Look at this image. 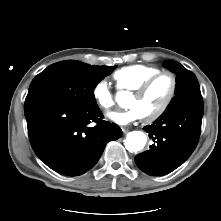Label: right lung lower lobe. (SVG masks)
<instances>
[{
  "label": "right lung lower lobe",
  "mask_w": 221,
  "mask_h": 221,
  "mask_svg": "<svg viewBox=\"0 0 221 221\" xmlns=\"http://www.w3.org/2000/svg\"><path fill=\"white\" fill-rule=\"evenodd\" d=\"M28 135L36 155L54 171L78 176L99 160L106 144L122 130L102 120L99 107L78 108L52 100L24 104ZM91 122L96 126L89 127Z\"/></svg>",
  "instance_id": "right-lung-lower-lobe-1"
}]
</instances>
